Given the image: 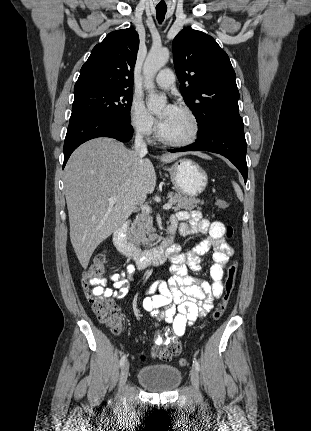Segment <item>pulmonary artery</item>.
<instances>
[{"label":"pulmonary artery","instance_id":"e3ab8cb5","mask_svg":"<svg viewBox=\"0 0 311 431\" xmlns=\"http://www.w3.org/2000/svg\"><path fill=\"white\" fill-rule=\"evenodd\" d=\"M156 83L161 89H171L175 86V76L170 68L162 69L156 76Z\"/></svg>","mask_w":311,"mask_h":431}]
</instances>
